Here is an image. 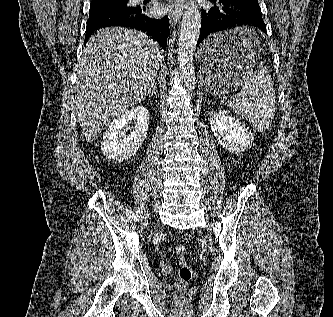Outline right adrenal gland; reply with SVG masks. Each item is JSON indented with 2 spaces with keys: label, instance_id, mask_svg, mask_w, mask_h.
I'll list each match as a JSON object with an SVG mask.
<instances>
[{
  "label": "right adrenal gland",
  "instance_id": "2a0ac1e0",
  "mask_svg": "<svg viewBox=\"0 0 333 317\" xmlns=\"http://www.w3.org/2000/svg\"><path fill=\"white\" fill-rule=\"evenodd\" d=\"M155 89H156V85H154V86L152 87L151 92L148 94L149 97H151L153 94L157 97V94H156V92H155Z\"/></svg>",
  "mask_w": 333,
  "mask_h": 317
}]
</instances>
